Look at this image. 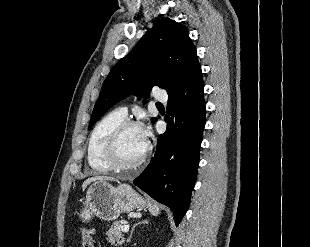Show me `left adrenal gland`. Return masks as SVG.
Instances as JSON below:
<instances>
[{"mask_svg":"<svg viewBox=\"0 0 310 247\" xmlns=\"http://www.w3.org/2000/svg\"><path fill=\"white\" fill-rule=\"evenodd\" d=\"M139 224H148V220H143L142 222H138V223L134 224V226H133V228H132V230H131L130 236H129V238L127 239V243L130 242V240H131V238H132V234H133V232H134V230H135V227H136L137 225H139Z\"/></svg>","mask_w":310,"mask_h":247,"instance_id":"obj_1","label":"left adrenal gland"}]
</instances>
